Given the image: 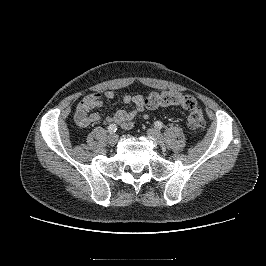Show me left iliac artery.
Returning a JSON list of instances; mask_svg holds the SVG:
<instances>
[{
	"label": "left iliac artery",
	"instance_id": "44dca946",
	"mask_svg": "<svg viewBox=\"0 0 266 266\" xmlns=\"http://www.w3.org/2000/svg\"><path fill=\"white\" fill-rule=\"evenodd\" d=\"M155 127L158 128V129H161L163 127V123L161 121H156L154 123Z\"/></svg>",
	"mask_w": 266,
	"mask_h": 266
}]
</instances>
